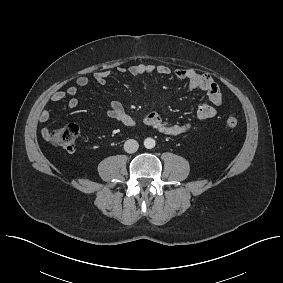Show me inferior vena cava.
I'll return each instance as SVG.
<instances>
[{"label": "inferior vena cava", "mask_w": 283, "mask_h": 283, "mask_svg": "<svg viewBox=\"0 0 283 283\" xmlns=\"http://www.w3.org/2000/svg\"><path fill=\"white\" fill-rule=\"evenodd\" d=\"M138 148H139V144L134 139H129V140L125 141V143H124V150L127 153H134L138 150Z\"/></svg>", "instance_id": "1"}]
</instances>
